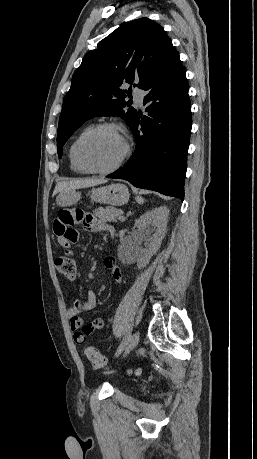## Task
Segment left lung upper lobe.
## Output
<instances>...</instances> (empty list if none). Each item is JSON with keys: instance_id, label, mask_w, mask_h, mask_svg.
Masks as SVG:
<instances>
[{"instance_id": "5c2ea615", "label": "left lung upper lobe", "mask_w": 257, "mask_h": 459, "mask_svg": "<svg viewBox=\"0 0 257 459\" xmlns=\"http://www.w3.org/2000/svg\"><path fill=\"white\" fill-rule=\"evenodd\" d=\"M174 49L163 28L148 18L128 22L89 51L72 77L63 100L57 132L58 155L85 121L102 115L119 116L131 125L137 111L124 100L131 95L123 82L143 89Z\"/></svg>"}]
</instances>
